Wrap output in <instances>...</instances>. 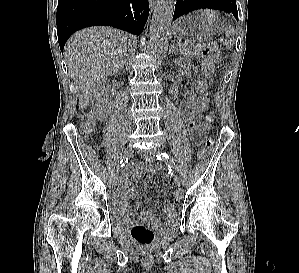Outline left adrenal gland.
<instances>
[{
    "mask_svg": "<svg viewBox=\"0 0 299 273\" xmlns=\"http://www.w3.org/2000/svg\"><path fill=\"white\" fill-rule=\"evenodd\" d=\"M176 53V48H175V45H174V42L172 43L171 45V49L169 50V53Z\"/></svg>",
    "mask_w": 299,
    "mask_h": 273,
    "instance_id": "left-adrenal-gland-1",
    "label": "left adrenal gland"
}]
</instances>
